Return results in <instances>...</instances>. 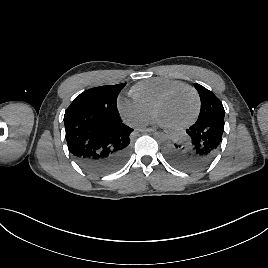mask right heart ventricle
Segmentation results:
<instances>
[{
    "mask_svg": "<svg viewBox=\"0 0 268 268\" xmlns=\"http://www.w3.org/2000/svg\"><path fill=\"white\" fill-rule=\"evenodd\" d=\"M182 82L174 79L155 77L136 83L130 90L132 99L153 110L158 99L171 87Z\"/></svg>",
    "mask_w": 268,
    "mask_h": 268,
    "instance_id": "obj_1",
    "label": "right heart ventricle"
}]
</instances>
